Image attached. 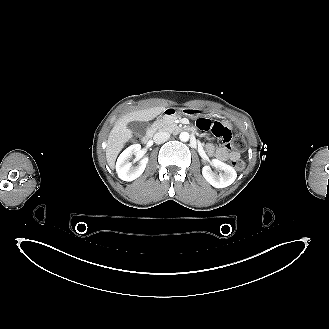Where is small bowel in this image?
<instances>
[{"label":"small bowel","instance_id":"c3829d8e","mask_svg":"<svg viewBox=\"0 0 329 329\" xmlns=\"http://www.w3.org/2000/svg\"><path fill=\"white\" fill-rule=\"evenodd\" d=\"M194 125L196 129L214 134V136L221 141L223 146L215 147L214 144L209 143L206 146L208 154L214 155L221 161L228 159L236 160L240 158V153L230 146V142L233 138L232 132L225 123L219 122L215 119H208L200 116L196 118Z\"/></svg>","mask_w":329,"mask_h":329}]
</instances>
